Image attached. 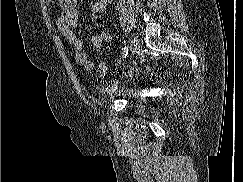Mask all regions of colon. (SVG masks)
Segmentation results:
<instances>
[{
	"mask_svg": "<svg viewBox=\"0 0 243 182\" xmlns=\"http://www.w3.org/2000/svg\"><path fill=\"white\" fill-rule=\"evenodd\" d=\"M97 74L100 77L106 76V74H107V67H106V65L104 63L101 62V63H99L97 65Z\"/></svg>",
	"mask_w": 243,
	"mask_h": 182,
	"instance_id": "obj_1",
	"label": "colon"
}]
</instances>
